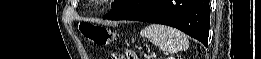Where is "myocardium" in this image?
Listing matches in <instances>:
<instances>
[{
	"instance_id": "obj_1",
	"label": "myocardium",
	"mask_w": 261,
	"mask_h": 59,
	"mask_svg": "<svg viewBox=\"0 0 261 59\" xmlns=\"http://www.w3.org/2000/svg\"><path fill=\"white\" fill-rule=\"evenodd\" d=\"M107 0H97L98 3L106 2Z\"/></svg>"
}]
</instances>
